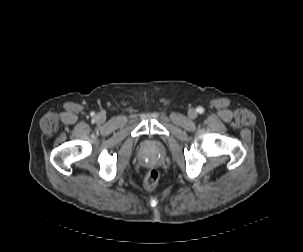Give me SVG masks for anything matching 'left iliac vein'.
<instances>
[{"instance_id":"1","label":"left iliac vein","mask_w":303,"mask_h":252,"mask_svg":"<svg viewBox=\"0 0 303 252\" xmlns=\"http://www.w3.org/2000/svg\"><path fill=\"white\" fill-rule=\"evenodd\" d=\"M189 116H190L191 118H195V117L197 116L196 111H190V112H189Z\"/></svg>"}]
</instances>
